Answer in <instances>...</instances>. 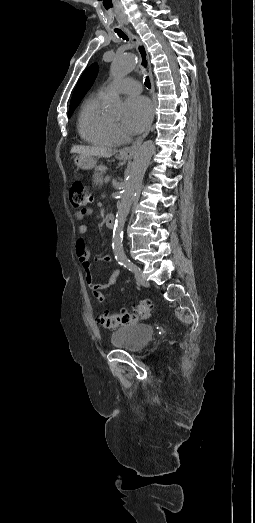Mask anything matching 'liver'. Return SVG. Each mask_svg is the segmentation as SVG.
<instances>
[{"mask_svg": "<svg viewBox=\"0 0 255 523\" xmlns=\"http://www.w3.org/2000/svg\"><path fill=\"white\" fill-rule=\"evenodd\" d=\"M71 154H80L84 158H91V156H98V158H111L113 156L112 150L106 148H93V146H73Z\"/></svg>", "mask_w": 255, "mask_h": 523, "instance_id": "6515ba94", "label": "liver"}]
</instances>
